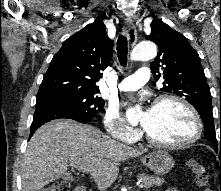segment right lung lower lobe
<instances>
[{
	"instance_id": "obj_1",
	"label": "right lung lower lobe",
	"mask_w": 221,
	"mask_h": 191,
	"mask_svg": "<svg viewBox=\"0 0 221 191\" xmlns=\"http://www.w3.org/2000/svg\"><path fill=\"white\" fill-rule=\"evenodd\" d=\"M60 118L72 119L80 123L89 122L79 117H76L71 112H69L64 106L56 103L55 101L39 100L36 102L35 106V113H34L33 122L31 124L30 137L44 123Z\"/></svg>"
}]
</instances>
